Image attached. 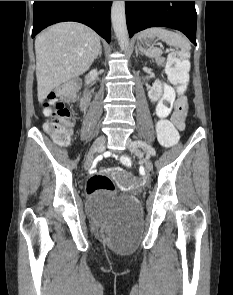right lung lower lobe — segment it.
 <instances>
[{"instance_id": "obj_1", "label": "right lung lower lobe", "mask_w": 233, "mask_h": 295, "mask_svg": "<svg viewBox=\"0 0 233 295\" xmlns=\"http://www.w3.org/2000/svg\"><path fill=\"white\" fill-rule=\"evenodd\" d=\"M111 4L112 1H34L32 38L51 24L77 21L110 42Z\"/></svg>"}]
</instances>
